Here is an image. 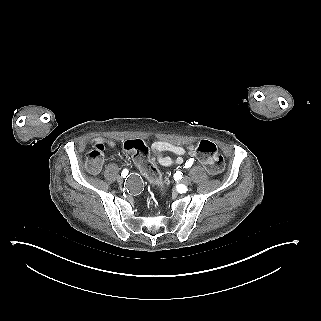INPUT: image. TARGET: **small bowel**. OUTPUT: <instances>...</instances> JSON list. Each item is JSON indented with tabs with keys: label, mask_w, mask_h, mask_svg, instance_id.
Segmentation results:
<instances>
[{
	"label": "small bowel",
	"mask_w": 321,
	"mask_h": 321,
	"mask_svg": "<svg viewBox=\"0 0 321 321\" xmlns=\"http://www.w3.org/2000/svg\"><path fill=\"white\" fill-rule=\"evenodd\" d=\"M94 142H102L107 144L109 147H114L115 142L110 139L96 138ZM153 150L157 154V159L163 166H169L173 163L181 164L183 162V157L186 153L185 149L179 145H175L169 142L158 141L153 144ZM163 152H171L176 155L175 159L168 156H164Z\"/></svg>",
	"instance_id": "obj_1"
}]
</instances>
